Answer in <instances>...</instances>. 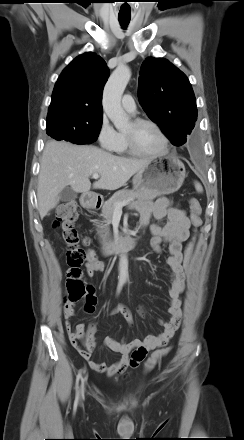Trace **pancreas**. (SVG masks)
Returning a JSON list of instances; mask_svg holds the SVG:
<instances>
[{
  "label": "pancreas",
  "mask_w": 244,
  "mask_h": 440,
  "mask_svg": "<svg viewBox=\"0 0 244 440\" xmlns=\"http://www.w3.org/2000/svg\"><path fill=\"white\" fill-rule=\"evenodd\" d=\"M157 195H149L137 190H120L104 203L101 216L105 219L106 224H98L97 227L99 229L98 233L100 238L102 239V243L105 245L111 242V233L109 228V222L112 219L113 213L115 211L116 203H121L126 200H135L136 203L143 202H152Z\"/></svg>",
  "instance_id": "cf45deb5"
}]
</instances>
